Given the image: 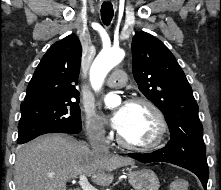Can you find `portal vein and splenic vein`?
<instances>
[{"label": "portal vein and splenic vein", "instance_id": "obj_1", "mask_svg": "<svg viewBox=\"0 0 221 190\" xmlns=\"http://www.w3.org/2000/svg\"><path fill=\"white\" fill-rule=\"evenodd\" d=\"M78 183L82 190H98L88 182L86 175H81Z\"/></svg>", "mask_w": 221, "mask_h": 190}]
</instances>
